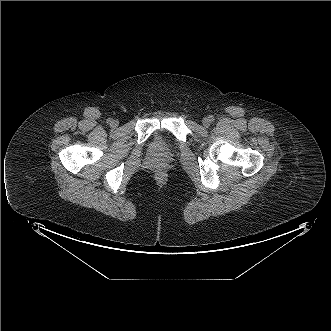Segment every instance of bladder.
I'll list each match as a JSON object with an SVG mask.
<instances>
[{"instance_id":"1","label":"bladder","mask_w":331,"mask_h":331,"mask_svg":"<svg viewBox=\"0 0 331 331\" xmlns=\"http://www.w3.org/2000/svg\"><path fill=\"white\" fill-rule=\"evenodd\" d=\"M150 150L155 154H160L172 150V142L163 134L155 133L149 145Z\"/></svg>"}]
</instances>
